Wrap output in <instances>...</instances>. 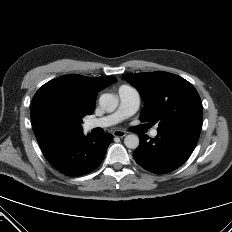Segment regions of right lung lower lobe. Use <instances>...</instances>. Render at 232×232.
I'll use <instances>...</instances> for the list:
<instances>
[{"mask_svg": "<svg viewBox=\"0 0 232 232\" xmlns=\"http://www.w3.org/2000/svg\"><path fill=\"white\" fill-rule=\"evenodd\" d=\"M111 134L85 137L79 133H52L38 141L47 161L58 171L68 176L85 175L102 162Z\"/></svg>", "mask_w": 232, "mask_h": 232, "instance_id": "right-lung-lower-lobe-1", "label": "right lung lower lobe"}]
</instances>
